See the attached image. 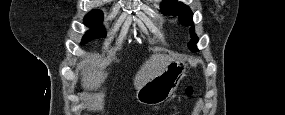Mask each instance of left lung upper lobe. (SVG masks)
Segmentation results:
<instances>
[{
    "label": "left lung upper lobe",
    "instance_id": "5c2ea615",
    "mask_svg": "<svg viewBox=\"0 0 285 115\" xmlns=\"http://www.w3.org/2000/svg\"><path fill=\"white\" fill-rule=\"evenodd\" d=\"M161 12L164 14H172L178 15L179 21L182 25H193L192 21V12L190 8L181 2H177V0H163L161 3ZM191 40L188 43V47L191 51H196V43L198 42V38L194 32V26L190 28Z\"/></svg>",
    "mask_w": 285,
    "mask_h": 115
}]
</instances>
